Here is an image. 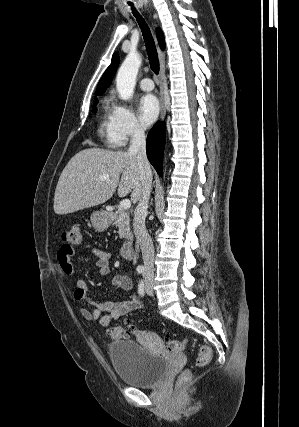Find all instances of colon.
I'll use <instances>...</instances> for the list:
<instances>
[{"mask_svg": "<svg viewBox=\"0 0 299 427\" xmlns=\"http://www.w3.org/2000/svg\"><path fill=\"white\" fill-rule=\"evenodd\" d=\"M63 240L71 246H78L82 240V230L80 226H73L67 229L62 236ZM134 333V329L130 324L119 325L109 330V335L113 338H124ZM186 341L170 340L167 343V349L172 352H182L185 348ZM212 358V350L207 345H202L199 348V353L196 359V364L200 367L209 364ZM191 374L189 371H184L178 378L177 385L183 388L190 380Z\"/></svg>", "mask_w": 299, "mask_h": 427, "instance_id": "obj_1", "label": "colon"}]
</instances>
